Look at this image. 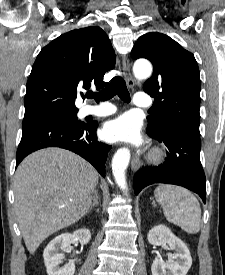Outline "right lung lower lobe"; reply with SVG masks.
Segmentation results:
<instances>
[{"label": "right lung lower lobe", "instance_id": "98d812e1", "mask_svg": "<svg viewBox=\"0 0 225 275\" xmlns=\"http://www.w3.org/2000/svg\"><path fill=\"white\" fill-rule=\"evenodd\" d=\"M96 129L97 123L77 125L51 115L24 117L16 166L36 150L61 147L82 156L105 177V162L111 146L97 141Z\"/></svg>", "mask_w": 225, "mask_h": 275}]
</instances>
